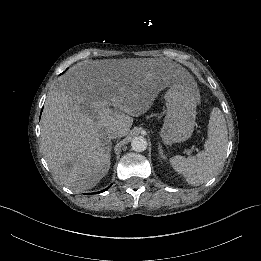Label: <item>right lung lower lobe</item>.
<instances>
[{
	"label": "right lung lower lobe",
	"mask_w": 261,
	"mask_h": 261,
	"mask_svg": "<svg viewBox=\"0 0 261 261\" xmlns=\"http://www.w3.org/2000/svg\"><path fill=\"white\" fill-rule=\"evenodd\" d=\"M108 188H106V189H104V190H102L101 192H103V191H106Z\"/></svg>",
	"instance_id": "right-lung-lower-lobe-1"
}]
</instances>
